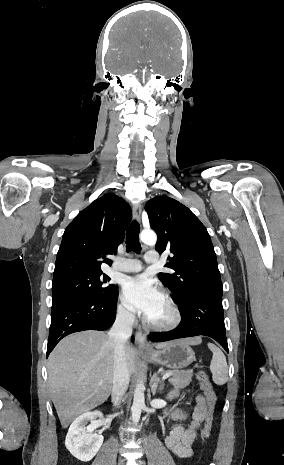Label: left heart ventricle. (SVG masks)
Returning <instances> with one entry per match:
<instances>
[{"instance_id":"1","label":"left heart ventricle","mask_w":284,"mask_h":465,"mask_svg":"<svg viewBox=\"0 0 284 465\" xmlns=\"http://www.w3.org/2000/svg\"><path fill=\"white\" fill-rule=\"evenodd\" d=\"M148 318L155 323H166L170 321L171 313L163 299L155 311Z\"/></svg>"}]
</instances>
